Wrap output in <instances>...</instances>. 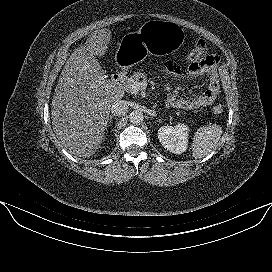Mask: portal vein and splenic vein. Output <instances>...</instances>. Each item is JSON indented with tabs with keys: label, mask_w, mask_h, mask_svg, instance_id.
I'll list each match as a JSON object with an SVG mask.
<instances>
[{
	"label": "portal vein and splenic vein",
	"mask_w": 272,
	"mask_h": 272,
	"mask_svg": "<svg viewBox=\"0 0 272 272\" xmlns=\"http://www.w3.org/2000/svg\"><path fill=\"white\" fill-rule=\"evenodd\" d=\"M146 86H147V84L145 82H139L136 85L128 86V88L136 90L137 87H139L140 89H145Z\"/></svg>",
	"instance_id": "1"
}]
</instances>
